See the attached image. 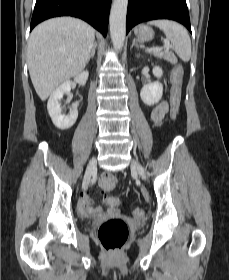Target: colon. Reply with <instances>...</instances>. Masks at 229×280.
<instances>
[{"label": "colon", "instance_id": "5ec220e1", "mask_svg": "<svg viewBox=\"0 0 229 280\" xmlns=\"http://www.w3.org/2000/svg\"><path fill=\"white\" fill-rule=\"evenodd\" d=\"M183 79V70L180 66H177L171 77L172 89L170 95V118L171 120H176L181 105V84ZM118 183L115 176L111 174H104L100 180V186L104 189H112ZM114 204L119 206L121 201L119 198L114 200ZM134 215L137 217H142L144 212L136 208L134 210ZM129 231L127 223L120 218H111L104 223L98 229L97 237L103 247L111 253H118L122 250L125 242L128 239Z\"/></svg>", "mask_w": 229, "mask_h": 280}]
</instances>
